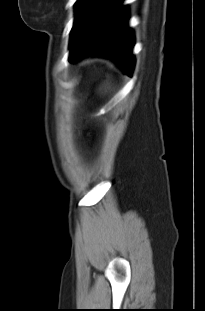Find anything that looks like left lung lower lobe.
<instances>
[{
	"mask_svg": "<svg viewBox=\"0 0 205 311\" xmlns=\"http://www.w3.org/2000/svg\"><path fill=\"white\" fill-rule=\"evenodd\" d=\"M120 0L112 15L79 46L71 49L69 61L89 55L106 56L116 61L131 76L134 59L131 56L133 34L126 28L127 8Z\"/></svg>",
	"mask_w": 205,
	"mask_h": 311,
	"instance_id": "1",
	"label": "left lung lower lobe"
}]
</instances>
